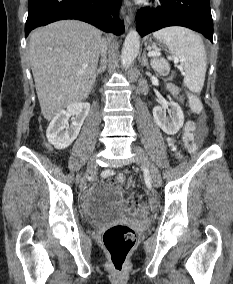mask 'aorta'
Segmentation results:
<instances>
[{
  "label": "aorta",
  "instance_id": "obj_1",
  "mask_svg": "<svg viewBox=\"0 0 233 284\" xmlns=\"http://www.w3.org/2000/svg\"><path fill=\"white\" fill-rule=\"evenodd\" d=\"M140 48V36L136 30H131L124 41L121 64L123 67H128L132 64L139 53Z\"/></svg>",
  "mask_w": 233,
  "mask_h": 284
}]
</instances>
